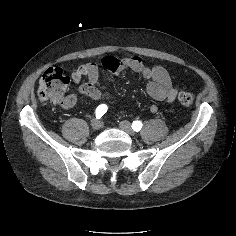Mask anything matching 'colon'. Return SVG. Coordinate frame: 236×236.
Instances as JSON below:
<instances>
[{
	"label": "colon",
	"mask_w": 236,
	"mask_h": 236,
	"mask_svg": "<svg viewBox=\"0 0 236 236\" xmlns=\"http://www.w3.org/2000/svg\"><path fill=\"white\" fill-rule=\"evenodd\" d=\"M70 79L60 68H49L39 80L38 95L41 100H50L55 105L62 106L65 101V93ZM178 101L183 106H190L194 96L188 92H181Z\"/></svg>",
	"instance_id": "5ec220e1"
}]
</instances>
